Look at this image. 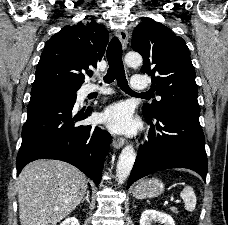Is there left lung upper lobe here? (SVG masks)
<instances>
[{
  "instance_id": "5c2ea615",
  "label": "left lung upper lobe",
  "mask_w": 228,
  "mask_h": 225,
  "mask_svg": "<svg viewBox=\"0 0 228 225\" xmlns=\"http://www.w3.org/2000/svg\"><path fill=\"white\" fill-rule=\"evenodd\" d=\"M132 49L143 57L141 72L152 76L151 89L161 96L144 104L142 112L153 118L164 109L200 113L195 69L185 41L152 19L141 22L132 34Z\"/></svg>"
}]
</instances>
